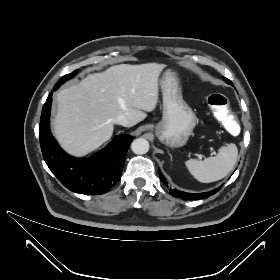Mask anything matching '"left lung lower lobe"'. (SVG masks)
Segmentation results:
<instances>
[{"instance_id":"0a47b994","label":"left lung lower lobe","mask_w":280,"mask_h":280,"mask_svg":"<svg viewBox=\"0 0 280 280\" xmlns=\"http://www.w3.org/2000/svg\"><path fill=\"white\" fill-rule=\"evenodd\" d=\"M159 176L161 181L164 182V184H166V187H168L167 182L165 181V178L163 177V175L161 174L160 170H159ZM220 188H222V185L214 190H211L209 192H204V193H200V194H195V193H185L176 189H170V193L177 198H181L184 200H198V199H203V198H207L209 196L214 195L217 191L220 190Z\"/></svg>"}]
</instances>
